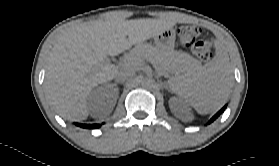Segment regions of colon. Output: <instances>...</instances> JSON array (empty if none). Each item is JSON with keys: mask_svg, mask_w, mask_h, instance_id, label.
<instances>
[{"mask_svg": "<svg viewBox=\"0 0 279 166\" xmlns=\"http://www.w3.org/2000/svg\"><path fill=\"white\" fill-rule=\"evenodd\" d=\"M177 33L181 45L189 49L198 59L208 61L212 57L210 44L200 38L201 30L198 27L181 26Z\"/></svg>", "mask_w": 279, "mask_h": 166, "instance_id": "obj_1", "label": "colon"}]
</instances>
